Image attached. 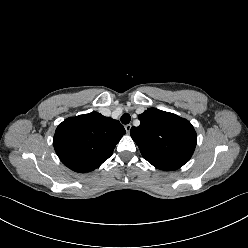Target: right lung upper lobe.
I'll return each mask as SVG.
<instances>
[{"label": "right lung upper lobe", "instance_id": "obj_1", "mask_svg": "<svg viewBox=\"0 0 248 248\" xmlns=\"http://www.w3.org/2000/svg\"><path fill=\"white\" fill-rule=\"evenodd\" d=\"M125 133L118 120L91 112L67 118L59 124L53 145L63 164L84 173L106 161Z\"/></svg>", "mask_w": 248, "mask_h": 248}]
</instances>
